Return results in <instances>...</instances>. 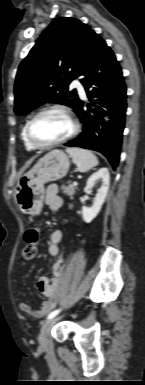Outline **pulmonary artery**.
Returning a JSON list of instances; mask_svg holds the SVG:
<instances>
[{"label":"pulmonary artery","instance_id":"e3ab8cb5","mask_svg":"<svg viewBox=\"0 0 145 385\" xmlns=\"http://www.w3.org/2000/svg\"><path fill=\"white\" fill-rule=\"evenodd\" d=\"M71 87L72 88H76L79 95L82 97V98H85V91L82 87V85L80 84V82L78 80H73L72 83H71Z\"/></svg>","mask_w":145,"mask_h":385}]
</instances>
